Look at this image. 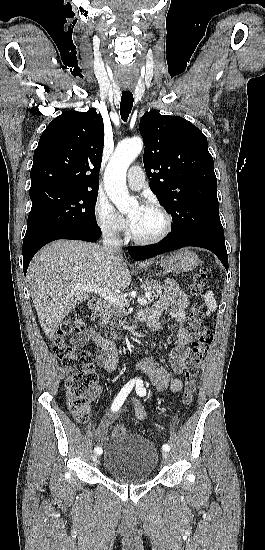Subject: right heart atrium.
<instances>
[{
	"instance_id": "obj_1",
	"label": "right heart atrium",
	"mask_w": 265,
	"mask_h": 550,
	"mask_svg": "<svg viewBox=\"0 0 265 550\" xmlns=\"http://www.w3.org/2000/svg\"><path fill=\"white\" fill-rule=\"evenodd\" d=\"M94 216L97 226L105 235L118 238L126 232L125 221L107 198L99 196L96 199Z\"/></svg>"
}]
</instances>
